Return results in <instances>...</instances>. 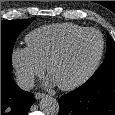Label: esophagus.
I'll use <instances>...</instances> for the list:
<instances>
[{
  "instance_id": "1",
  "label": "esophagus",
  "mask_w": 115,
  "mask_h": 115,
  "mask_svg": "<svg viewBox=\"0 0 115 115\" xmlns=\"http://www.w3.org/2000/svg\"><path fill=\"white\" fill-rule=\"evenodd\" d=\"M46 96H47V95L44 94V93L37 92V93L35 94V99H41V98L46 97Z\"/></svg>"
}]
</instances>
